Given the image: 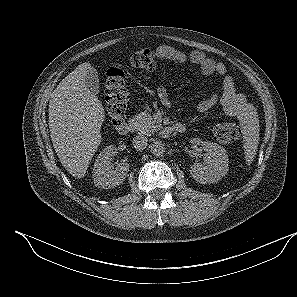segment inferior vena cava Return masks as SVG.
<instances>
[{
    "label": "inferior vena cava",
    "mask_w": 297,
    "mask_h": 297,
    "mask_svg": "<svg viewBox=\"0 0 297 297\" xmlns=\"http://www.w3.org/2000/svg\"><path fill=\"white\" fill-rule=\"evenodd\" d=\"M148 140L145 136H136L133 138V146L135 149L141 151L147 147Z\"/></svg>",
    "instance_id": "obj_1"
}]
</instances>
